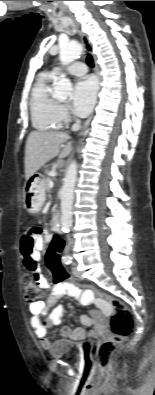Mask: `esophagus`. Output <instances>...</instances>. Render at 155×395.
Here are the masks:
<instances>
[{
    "mask_svg": "<svg viewBox=\"0 0 155 395\" xmlns=\"http://www.w3.org/2000/svg\"><path fill=\"white\" fill-rule=\"evenodd\" d=\"M76 25H77L78 33H79V35H80V37H81V40H82V42H83V44H84V47H85L86 52H87L88 54L92 55V57H93V59H94V62H95V64H96V66H97V60H96V57H95L94 52H93V47H92V44H91V42H90V40H89L87 34L82 30V28H81V26H80L79 23H76ZM91 118H92V117H89V118L85 121L84 127L88 126V124H89L90 121H91Z\"/></svg>",
    "mask_w": 155,
    "mask_h": 395,
    "instance_id": "esophagus-1",
    "label": "esophagus"
}]
</instances>
